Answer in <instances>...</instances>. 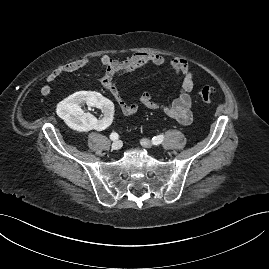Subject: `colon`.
I'll use <instances>...</instances> for the list:
<instances>
[{
    "label": "colon",
    "instance_id": "1",
    "mask_svg": "<svg viewBox=\"0 0 269 269\" xmlns=\"http://www.w3.org/2000/svg\"><path fill=\"white\" fill-rule=\"evenodd\" d=\"M214 90L209 86L201 88L199 98L203 103H211L213 99Z\"/></svg>",
    "mask_w": 269,
    "mask_h": 269
}]
</instances>
